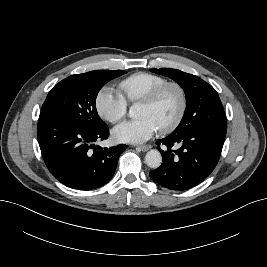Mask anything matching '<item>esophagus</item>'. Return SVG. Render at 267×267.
Returning <instances> with one entry per match:
<instances>
[{"label":"esophagus","mask_w":267,"mask_h":267,"mask_svg":"<svg viewBox=\"0 0 267 267\" xmlns=\"http://www.w3.org/2000/svg\"><path fill=\"white\" fill-rule=\"evenodd\" d=\"M151 148L150 145H141V146H137V149L141 150V151H148Z\"/></svg>","instance_id":"1"}]
</instances>
